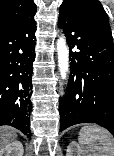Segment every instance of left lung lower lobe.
I'll list each match as a JSON object with an SVG mask.
<instances>
[{
  "mask_svg": "<svg viewBox=\"0 0 114 156\" xmlns=\"http://www.w3.org/2000/svg\"><path fill=\"white\" fill-rule=\"evenodd\" d=\"M58 25L70 47V77L60 98V131L96 123L114 135V45L111 30L81 9L62 4ZM74 49L75 51H72Z\"/></svg>",
  "mask_w": 114,
  "mask_h": 156,
  "instance_id": "obj_1",
  "label": "left lung lower lobe"
}]
</instances>
